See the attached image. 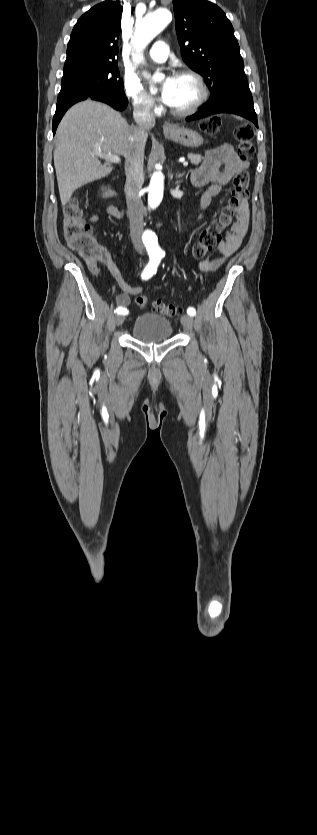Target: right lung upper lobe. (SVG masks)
<instances>
[{
    "label": "right lung upper lobe",
    "mask_w": 317,
    "mask_h": 835,
    "mask_svg": "<svg viewBox=\"0 0 317 835\" xmlns=\"http://www.w3.org/2000/svg\"><path fill=\"white\" fill-rule=\"evenodd\" d=\"M122 10L123 7L118 2L105 1L82 15L72 30L65 64H117Z\"/></svg>",
    "instance_id": "right-lung-upper-lobe-1"
}]
</instances>
